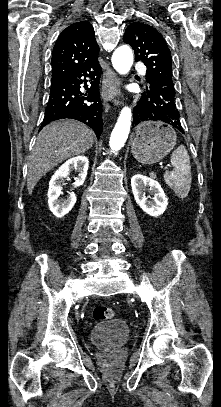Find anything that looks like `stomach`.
Returning <instances> with one entry per match:
<instances>
[{"label": "stomach", "instance_id": "stomach-1", "mask_svg": "<svg viewBox=\"0 0 221 407\" xmlns=\"http://www.w3.org/2000/svg\"><path fill=\"white\" fill-rule=\"evenodd\" d=\"M177 135L170 126L154 121L140 124L131 145L134 158L143 164H154L175 147Z\"/></svg>", "mask_w": 221, "mask_h": 407}]
</instances>
